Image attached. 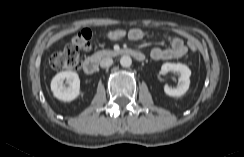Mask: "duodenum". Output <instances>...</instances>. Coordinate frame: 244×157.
<instances>
[{
    "label": "duodenum",
    "instance_id": "410a0bca",
    "mask_svg": "<svg viewBox=\"0 0 244 157\" xmlns=\"http://www.w3.org/2000/svg\"><path fill=\"white\" fill-rule=\"evenodd\" d=\"M122 54L130 55L137 61H143L145 59V56L142 52L136 51L131 48H127V49H123V50H113L110 53L111 56H118V55H122ZM82 66H83V70L87 74H94L98 71V68H99L98 58L97 57L86 58L83 61Z\"/></svg>",
    "mask_w": 244,
    "mask_h": 157
}]
</instances>
